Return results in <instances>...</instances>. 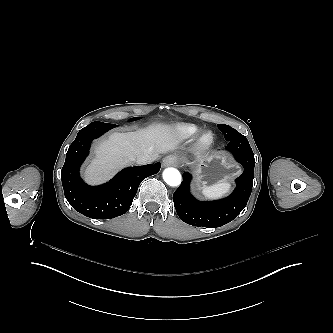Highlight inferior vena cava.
I'll return each mask as SVG.
<instances>
[{"label": "inferior vena cava", "mask_w": 333, "mask_h": 333, "mask_svg": "<svg viewBox=\"0 0 333 333\" xmlns=\"http://www.w3.org/2000/svg\"><path fill=\"white\" fill-rule=\"evenodd\" d=\"M154 160H155V158L152 157L150 154H143L136 158V163L138 165H144V164H149Z\"/></svg>", "instance_id": "inferior-vena-cava-1"}]
</instances>
